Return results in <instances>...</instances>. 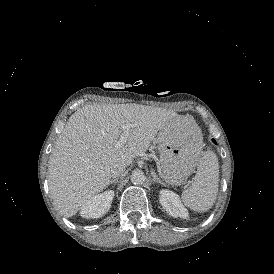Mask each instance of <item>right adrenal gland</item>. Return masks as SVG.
Masks as SVG:
<instances>
[{
  "label": "right adrenal gland",
  "mask_w": 274,
  "mask_h": 274,
  "mask_svg": "<svg viewBox=\"0 0 274 274\" xmlns=\"http://www.w3.org/2000/svg\"><path fill=\"white\" fill-rule=\"evenodd\" d=\"M117 181H118V178H115V179H112V180L110 181V183H117Z\"/></svg>",
  "instance_id": "1"
}]
</instances>
